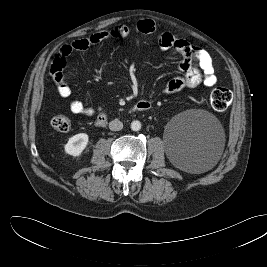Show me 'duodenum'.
<instances>
[{
	"mask_svg": "<svg viewBox=\"0 0 267 267\" xmlns=\"http://www.w3.org/2000/svg\"><path fill=\"white\" fill-rule=\"evenodd\" d=\"M150 107H151V104L149 102L139 101L135 104L134 111L142 112V111H146L150 109ZM109 120H110L109 114L106 112H101L97 115L95 122L98 126H105L108 124Z\"/></svg>",
	"mask_w": 267,
	"mask_h": 267,
	"instance_id": "1",
	"label": "duodenum"
}]
</instances>
